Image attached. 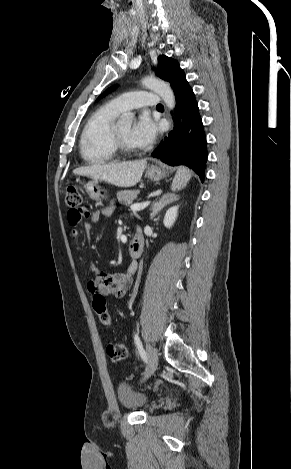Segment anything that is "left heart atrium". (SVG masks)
<instances>
[{
    "label": "left heart atrium",
    "mask_w": 291,
    "mask_h": 469,
    "mask_svg": "<svg viewBox=\"0 0 291 469\" xmlns=\"http://www.w3.org/2000/svg\"><path fill=\"white\" fill-rule=\"evenodd\" d=\"M157 127L149 114L142 113L131 129L130 140L139 148L149 146L156 138Z\"/></svg>",
    "instance_id": "1"
}]
</instances>
